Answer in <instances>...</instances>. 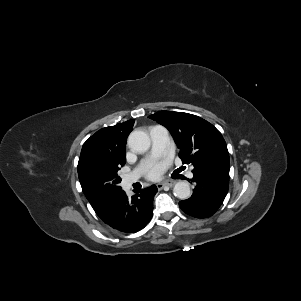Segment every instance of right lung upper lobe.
Here are the masks:
<instances>
[{
    "instance_id": "cb5924a9",
    "label": "right lung upper lobe",
    "mask_w": 301,
    "mask_h": 301,
    "mask_svg": "<svg viewBox=\"0 0 301 301\" xmlns=\"http://www.w3.org/2000/svg\"><path fill=\"white\" fill-rule=\"evenodd\" d=\"M133 125L134 120H128L115 126L105 127L97 131L83 144L79 162L90 155L115 157L121 160H126V139L132 131ZM108 209L109 208L94 210L100 217Z\"/></svg>"
}]
</instances>
